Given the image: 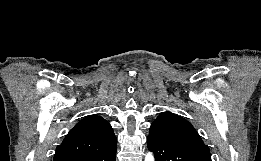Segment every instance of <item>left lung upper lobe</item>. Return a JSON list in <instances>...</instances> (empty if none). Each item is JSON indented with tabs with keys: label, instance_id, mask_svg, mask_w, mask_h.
<instances>
[{
	"label": "left lung upper lobe",
	"instance_id": "1",
	"mask_svg": "<svg viewBox=\"0 0 261 161\" xmlns=\"http://www.w3.org/2000/svg\"><path fill=\"white\" fill-rule=\"evenodd\" d=\"M149 137L171 145L209 150L187 120L170 112H163L157 117L150 127Z\"/></svg>",
	"mask_w": 261,
	"mask_h": 161
}]
</instances>
